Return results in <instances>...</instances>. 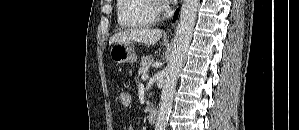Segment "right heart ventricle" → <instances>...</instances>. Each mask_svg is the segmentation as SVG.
<instances>
[{
	"mask_svg": "<svg viewBox=\"0 0 299 130\" xmlns=\"http://www.w3.org/2000/svg\"><path fill=\"white\" fill-rule=\"evenodd\" d=\"M117 19L121 27L143 28L153 25L156 10L151 0H118Z\"/></svg>",
	"mask_w": 299,
	"mask_h": 130,
	"instance_id": "right-heart-ventricle-1",
	"label": "right heart ventricle"
}]
</instances>
